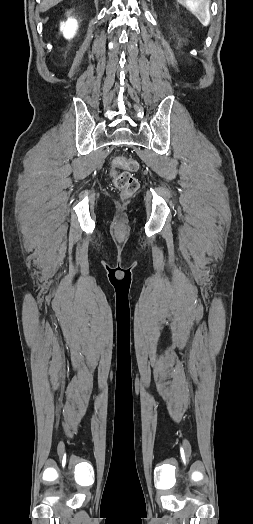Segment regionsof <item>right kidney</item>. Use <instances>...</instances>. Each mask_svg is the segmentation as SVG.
<instances>
[{"mask_svg":"<svg viewBox=\"0 0 253 524\" xmlns=\"http://www.w3.org/2000/svg\"><path fill=\"white\" fill-rule=\"evenodd\" d=\"M78 28V23L75 19L69 18L66 23H61V30L67 39L74 37Z\"/></svg>","mask_w":253,"mask_h":524,"instance_id":"ca27d5eb","label":"right kidney"}]
</instances>
